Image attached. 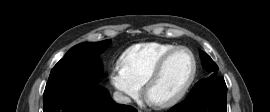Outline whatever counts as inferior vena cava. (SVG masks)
Masks as SVG:
<instances>
[{
    "label": "inferior vena cava",
    "instance_id": "inferior-vena-cava-1",
    "mask_svg": "<svg viewBox=\"0 0 270 112\" xmlns=\"http://www.w3.org/2000/svg\"><path fill=\"white\" fill-rule=\"evenodd\" d=\"M113 99L115 102L120 104H128L131 101L128 96L123 95L121 92L118 91L113 93Z\"/></svg>",
    "mask_w": 270,
    "mask_h": 112
}]
</instances>
